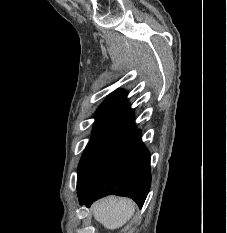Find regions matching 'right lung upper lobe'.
<instances>
[{"mask_svg":"<svg viewBox=\"0 0 227 233\" xmlns=\"http://www.w3.org/2000/svg\"><path fill=\"white\" fill-rule=\"evenodd\" d=\"M95 118L93 133L97 135H115L121 138L135 129L133 113L124 90H118L108 97Z\"/></svg>","mask_w":227,"mask_h":233,"instance_id":"right-lung-upper-lobe-1","label":"right lung upper lobe"}]
</instances>
